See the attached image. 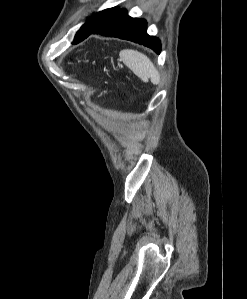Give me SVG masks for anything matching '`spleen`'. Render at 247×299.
Here are the masks:
<instances>
[{
    "mask_svg": "<svg viewBox=\"0 0 247 299\" xmlns=\"http://www.w3.org/2000/svg\"><path fill=\"white\" fill-rule=\"evenodd\" d=\"M120 60L143 82L149 79L153 84H159L160 75L151 60L143 53L132 49L120 51Z\"/></svg>",
    "mask_w": 247,
    "mask_h": 299,
    "instance_id": "1",
    "label": "spleen"
}]
</instances>
